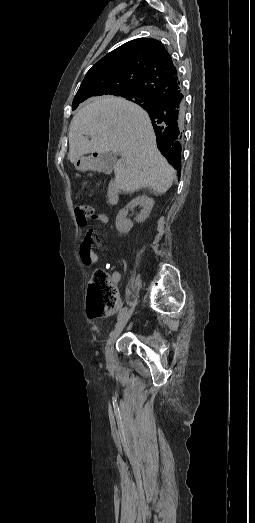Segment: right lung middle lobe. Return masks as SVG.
Masks as SVG:
<instances>
[{"instance_id": "right-lung-middle-lobe-1", "label": "right lung middle lobe", "mask_w": 255, "mask_h": 523, "mask_svg": "<svg viewBox=\"0 0 255 523\" xmlns=\"http://www.w3.org/2000/svg\"><path fill=\"white\" fill-rule=\"evenodd\" d=\"M116 96H121L135 103L141 102L142 106L146 109L151 108L154 104L153 99L142 91H127L124 93L117 94ZM76 108L77 107H72L73 110Z\"/></svg>"}]
</instances>
